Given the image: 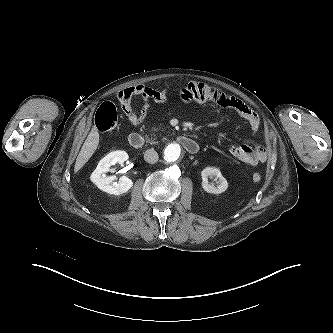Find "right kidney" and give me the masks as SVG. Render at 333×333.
Instances as JSON below:
<instances>
[{
	"mask_svg": "<svg viewBox=\"0 0 333 333\" xmlns=\"http://www.w3.org/2000/svg\"><path fill=\"white\" fill-rule=\"evenodd\" d=\"M128 159L125 151L117 150L107 154L101 159L90 176V180L102 191L109 194L120 195L126 193L132 186L133 181L125 176L114 182L116 176H106L110 167L116 163L123 164Z\"/></svg>",
	"mask_w": 333,
	"mask_h": 333,
	"instance_id": "right-kidney-1",
	"label": "right kidney"
}]
</instances>
